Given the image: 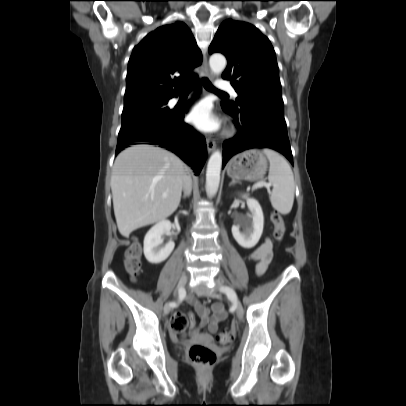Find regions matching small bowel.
<instances>
[{"instance_id":"obj_1","label":"small bowel","mask_w":406,"mask_h":406,"mask_svg":"<svg viewBox=\"0 0 406 406\" xmlns=\"http://www.w3.org/2000/svg\"><path fill=\"white\" fill-rule=\"evenodd\" d=\"M272 241L270 238H265L260 246L254 249L248 258L256 262V273L262 275L268 264L272 260ZM188 301L194 306L195 310L201 317V327H207L210 333H215L218 329V325L221 321L226 318V311L221 302H215L210 308L201 304L194 297H188ZM173 335L176 336V332L172 331Z\"/></svg>"}]
</instances>
